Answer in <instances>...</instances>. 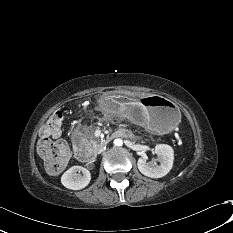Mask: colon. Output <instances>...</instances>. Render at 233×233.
<instances>
[{
  "mask_svg": "<svg viewBox=\"0 0 233 233\" xmlns=\"http://www.w3.org/2000/svg\"><path fill=\"white\" fill-rule=\"evenodd\" d=\"M62 123L63 114L61 111H56L46 120L41 130L43 139L38 144V153L50 173L62 171L69 161L67 144L62 140L50 139L61 132Z\"/></svg>",
  "mask_w": 233,
  "mask_h": 233,
  "instance_id": "colon-1",
  "label": "colon"
}]
</instances>
